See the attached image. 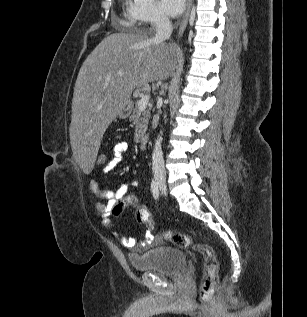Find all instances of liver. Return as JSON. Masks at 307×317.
I'll use <instances>...</instances> for the list:
<instances>
[{"instance_id": "1", "label": "liver", "mask_w": 307, "mask_h": 317, "mask_svg": "<svg viewBox=\"0 0 307 317\" xmlns=\"http://www.w3.org/2000/svg\"><path fill=\"white\" fill-rule=\"evenodd\" d=\"M176 57L173 47L144 32L108 35L89 54L75 83L70 127L73 154L83 175H92L101 139L120 105L135 88L166 79Z\"/></svg>"}]
</instances>
